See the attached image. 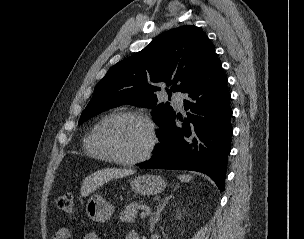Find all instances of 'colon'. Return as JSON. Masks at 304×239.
I'll list each match as a JSON object with an SVG mask.
<instances>
[{"label":"colon","instance_id":"obj_1","mask_svg":"<svg viewBox=\"0 0 304 239\" xmlns=\"http://www.w3.org/2000/svg\"><path fill=\"white\" fill-rule=\"evenodd\" d=\"M57 209L64 213L71 214L75 210V197L72 193L59 195L55 200Z\"/></svg>","mask_w":304,"mask_h":239}]
</instances>
